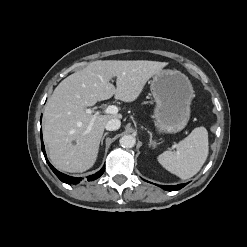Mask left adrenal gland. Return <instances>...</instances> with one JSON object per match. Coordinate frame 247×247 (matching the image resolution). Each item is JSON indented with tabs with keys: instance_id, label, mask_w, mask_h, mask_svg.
<instances>
[{
	"instance_id": "left-adrenal-gland-1",
	"label": "left adrenal gland",
	"mask_w": 247,
	"mask_h": 247,
	"mask_svg": "<svg viewBox=\"0 0 247 247\" xmlns=\"http://www.w3.org/2000/svg\"><path fill=\"white\" fill-rule=\"evenodd\" d=\"M148 134L150 135V138H149V146L150 147H156V145H158V143L152 139V133L147 130Z\"/></svg>"
}]
</instances>
